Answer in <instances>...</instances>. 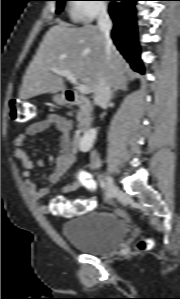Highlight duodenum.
<instances>
[{"instance_id":"obj_1","label":"duodenum","mask_w":180,"mask_h":299,"mask_svg":"<svg viewBox=\"0 0 180 299\" xmlns=\"http://www.w3.org/2000/svg\"><path fill=\"white\" fill-rule=\"evenodd\" d=\"M65 98L69 104L77 105L81 108V119L78 126L82 132H87L91 127L92 105L90 99L72 90L65 92Z\"/></svg>"}]
</instances>
